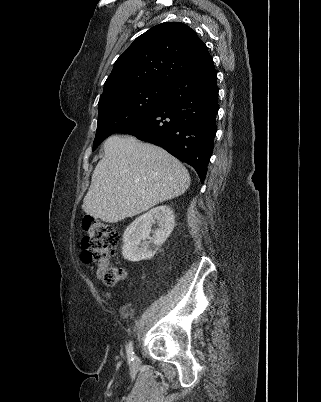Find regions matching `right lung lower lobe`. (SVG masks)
I'll use <instances>...</instances> for the list:
<instances>
[{
    "label": "right lung lower lobe",
    "mask_w": 321,
    "mask_h": 402,
    "mask_svg": "<svg viewBox=\"0 0 321 402\" xmlns=\"http://www.w3.org/2000/svg\"><path fill=\"white\" fill-rule=\"evenodd\" d=\"M213 63L167 86L165 100L116 133L130 134L164 148L191 165L203 183L212 155L218 112Z\"/></svg>",
    "instance_id": "1"
}]
</instances>
